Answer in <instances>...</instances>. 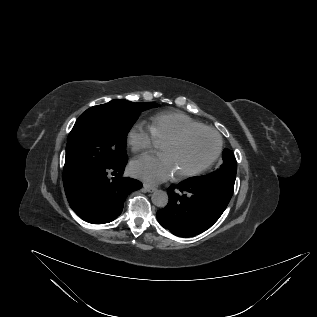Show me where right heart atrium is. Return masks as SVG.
<instances>
[{"label": "right heart atrium", "instance_id": "1", "mask_svg": "<svg viewBox=\"0 0 317 317\" xmlns=\"http://www.w3.org/2000/svg\"><path fill=\"white\" fill-rule=\"evenodd\" d=\"M127 144L133 151H145L159 145L150 127L135 123L127 133Z\"/></svg>", "mask_w": 317, "mask_h": 317}]
</instances>
